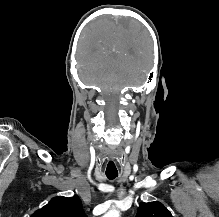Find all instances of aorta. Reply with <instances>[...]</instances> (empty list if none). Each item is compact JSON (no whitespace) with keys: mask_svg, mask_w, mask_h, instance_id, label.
I'll return each mask as SVG.
<instances>
[{"mask_svg":"<svg viewBox=\"0 0 219 217\" xmlns=\"http://www.w3.org/2000/svg\"><path fill=\"white\" fill-rule=\"evenodd\" d=\"M103 217H120V212L117 210H111L107 212Z\"/></svg>","mask_w":219,"mask_h":217,"instance_id":"1","label":"aorta"}]
</instances>
